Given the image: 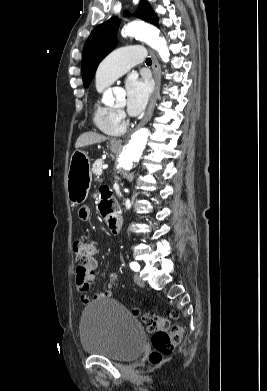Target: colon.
Segmentation results:
<instances>
[{"label":"colon","mask_w":267,"mask_h":391,"mask_svg":"<svg viewBox=\"0 0 267 391\" xmlns=\"http://www.w3.org/2000/svg\"><path fill=\"white\" fill-rule=\"evenodd\" d=\"M73 251L75 253L77 269L82 272H87L92 267L94 257L98 253V244L92 239L77 238L73 242ZM132 314L141 317V321L152 335V350L149 355L150 362L152 364L160 363L166 356L173 352L181 341L183 328L180 326L171 328L168 318L161 315L153 313L140 315V311L137 309L132 310ZM170 316L176 318L178 314L175 311H171Z\"/></svg>","instance_id":"colon-1"}]
</instances>
